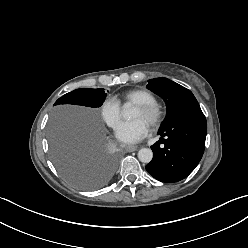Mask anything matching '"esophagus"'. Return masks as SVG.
Masks as SVG:
<instances>
[{
  "mask_svg": "<svg viewBox=\"0 0 248 248\" xmlns=\"http://www.w3.org/2000/svg\"><path fill=\"white\" fill-rule=\"evenodd\" d=\"M138 149V147L137 146H125V150L127 151V152H133V151H136Z\"/></svg>",
  "mask_w": 248,
  "mask_h": 248,
  "instance_id": "esophagus-1",
  "label": "esophagus"
}]
</instances>
